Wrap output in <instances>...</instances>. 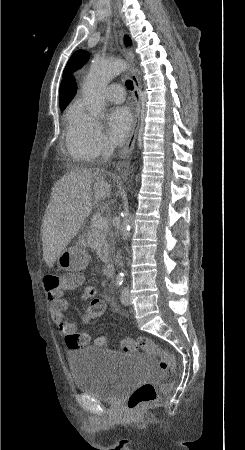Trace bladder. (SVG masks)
<instances>
[{"instance_id":"obj_1","label":"bladder","mask_w":245,"mask_h":450,"mask_svg":"<svg viewBox=\"0 0 245 450\" xmlns=\"http://www.w3.org/2000/svg\"><path fill=\"white\" fill-rule=\"evenodd\" d=\"M67 358L75 390L105 401H117L147 372L140 356L106 348L75 347Z\"/></svg>"}]
</instances>
